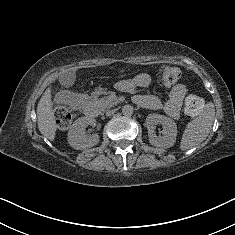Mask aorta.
Wrapping results in <instances>:
<instances>
[{
    "label": "aorta",
    "mask_w": 235,
    "mask_h": 235,
    "mask_svg": "<svg viewBox=\"0 0 235 235\" xmlns=\"http://www.w3.org/2000/svg\"><path fill=\"white\" fill-rule=\"evenodd\" d=\"M133 112H134V108L131 105H124L122 107V113L125 116H131L133 114Z\"/></svg>",
    "instance_id": "1"
}]
</instances>
